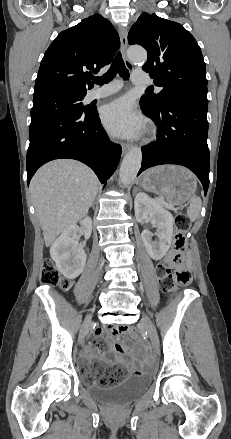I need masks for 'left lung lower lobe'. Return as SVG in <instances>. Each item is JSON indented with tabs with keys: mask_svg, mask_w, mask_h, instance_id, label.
Returning a JSON list of instances; mask_svg holds the SVG:
<instances>
[{
	"mask_svg": "<svg viewBox=\"0 0 231 439\" xmlns=\"http://www.w3.org/2000/svg\"><path fill=\"white\" fill-rule=\"evenodd\" d=\"M143 113L158 127V141L143 147L142 166L177 164L189 168L201 181L206 195L210 157L207 145V96L181 93L167 98L157 108L140 102Z\"/></svg>",
	"mask_w": 231,
	"mask_h": 439,
	"instance_id": "1",
	"label": "left lung lower lobe"
}]
</instances>
